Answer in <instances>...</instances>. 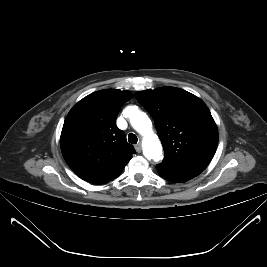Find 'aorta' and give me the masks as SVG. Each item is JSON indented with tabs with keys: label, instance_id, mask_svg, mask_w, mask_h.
Returning <instances> with one entry per match:
<instances>
[{
	"label": "aorta",
	"instance_id": "aorta-1",
	"mask_svg": "<svg viewBox=\"0 0 267 267\" xmlns=\"http://www.w3.org/2000/svg\"><path fill=\"white\" fill-rule=\"evenodd\" d=\"M125 115L129 118L131 126L143 137V154L148 160L158 162L162 159V145L156 134L152 131V122L148 115L136 106H128Z\"/></svg>",
	"mask_w": 267,
	"mask_h": 267
}]
</instances>
